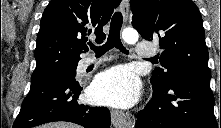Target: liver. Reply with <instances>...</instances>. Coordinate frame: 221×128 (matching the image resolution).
Returning a JSON list of instances; mask_svg holds the SVG:
<instances>
[{"label":"liver","mask_w":221,"mask_h":128,"mask_svg":"<svg viewBox=\"0 0 221 128\" xmlns=\"http://www.w3.org/2000/svg\"><path fill=\"white\" fill-rule=\"evenodd\" d=\"M39 128H81L79 125L68 122H54L40 126Z\"/></svg>","instance_id":"obj_1"}]
</instances>
